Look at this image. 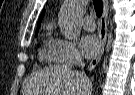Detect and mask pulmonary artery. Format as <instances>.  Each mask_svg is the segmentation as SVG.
<instances>
[{
	"mask_svg": "<svg viewBox=\"0 0 135 95\" xmlns=\"http://www.w3.org/2000/svg\"><path fill=\"white\" fill-rule=\"evenodd\" d=\"M83 27L87 31H93L95 29L94 18L91 16H86L83 18Z\"/></svg>",
	"mask_w": 135,
	"mask_h": 95,
	"instance_id": "obj_1",
	"label": "pulmonary artery"
}]
</instances>
